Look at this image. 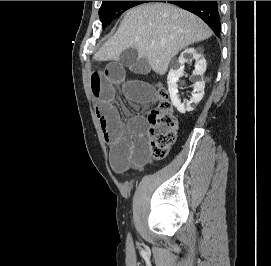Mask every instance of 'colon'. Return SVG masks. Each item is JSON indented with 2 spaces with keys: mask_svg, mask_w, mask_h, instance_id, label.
<instances>
[{
  "mask_svg": "<svg viewBox=\"0 0 271 266\" xmlns=\"http://www.w3.org/2000/svg\"><path fill=\"white\" fill-rule=\"evenodd\" d=\"M159 101L149 114V150L153 157L164 158L176 141L178 120L168 93L158 86Z\"/></svg>",
  "mask_w": 271,
  "mask_h": 266,
  "instance_id": "5ec220e1",
  "label": "colon"
}]
</instances>
